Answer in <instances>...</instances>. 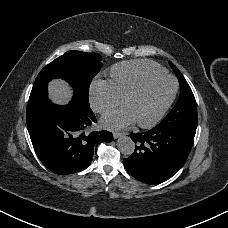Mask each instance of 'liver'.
Returning <instances> with one entry per match:
<instances>
[{"mask_svg": "<svg viewBox=\"0 0 228 228\" xmlns=\"http://www.w3.org/2000/svg\"><path fill=\"white\" fill-rule=\"evenodd\" d=\"M50 99L57 104H67L72 97V89L67 82L54 79L48 83Z\"/></svg>", "mask_w": 228, "mask_h": 228, "instance_id": "obj_1", "label": "liver"}]
</instances>
